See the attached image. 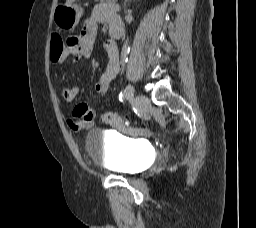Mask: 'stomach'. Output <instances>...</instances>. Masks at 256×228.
Returning a JSON list of instances; mask_svg holds the SVG:
<instances>
[{"label": "stomach", "instance_id": "stomach-1", "mask_svg": "<svg viewBox=\"0 0 256 228\" xmlns=\"http://www.w3.org/2000/svg\"><path fill=\"white\" fill-rule=\"evenodd\" d=\"M82 14L81 5L72 1L57 7L53 13V20L59 29L72 30L79 23Z\"/></svg>", "mask_w": 256, "mask_h": 228}]
</instances>
